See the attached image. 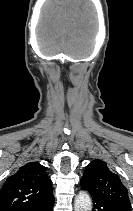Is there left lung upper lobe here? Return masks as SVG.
I'll return each instance as SVG.
<instances>
[{
	"label": "left lung upper lobe",
	"mask_w": 133,
	"mask_h": 211,
	"mask_svg": "<svg viewBox=\"0 0 133 211\" xmlns=\"http://www.w3.org/2000/svg\"><path fill=\"white\" fill-rule=\"evenodd\" d=\"M83 190L94 198L108 201L131 210L128 192L118 175L113 173L101 160L91 161L80 180Z\"/></svg>",
	"instance_id": "5c2ea615"
}]
</instances>
